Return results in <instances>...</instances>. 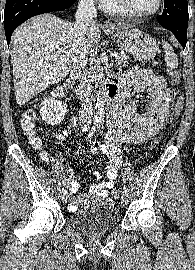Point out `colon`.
Here are the masks:
<instances>
[{
  "mask_svg": "<svg viewBox=\"0 0 195 270\" xmlns=\"http://www.w3.org/2000/svg\"><path fill=\"white\" fill-rule=\"evenodd\" d=\"M168 77H169V82L172 86L176 87L180 84L181 82V74L177 69H169L168 72ZM61 91L59 90L57 92V95H61ZM182 107H183V103H182V98L179 97L175 103V106L173 108V111L171 113L170 116V123H175L177 122V120L179 119L181 112H182ZM35 120H36V115L34 111H28L24 117L21 120V125L22 128L24 130V132L26 133V135L28 136L30 142L34 145V146H39L41 141L40 138L38 137V133L36 130V125H35ZM113 196L114 198H118L120 196V190L119 189H115L113 191Z\"/></svg>",
  "mask_w": 195,
  "mask_h": 270,
  "instance_id": "obj_1",
  "label": "colon"
}]
</instances>
